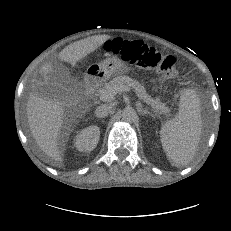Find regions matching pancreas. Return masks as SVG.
<instances>
[{
  "label": "pancreas",
  "mask_w": 231,
  "mask_h": 231,
  "mask_svg": "<svg viewBox=\"0 0 231 231\" xmlns=\"http://www.w3.org/2000/svg\"><path fill=\"white\" fill-rule=\"evenodd\" d=\"M115 85H126L133 89L139 99L150 105L156 113L168 114L171 112V109L167 107L165 103L161 102L159 98L153 99L150 95L147 94L144 86H142L137 80L128 76L114 77L110 82L105 83L102 87L98 88L96 90V95L100 97L104 91Z\"/></svg>",
  "instance_id": "pancreas-1"
}]
</instances>
